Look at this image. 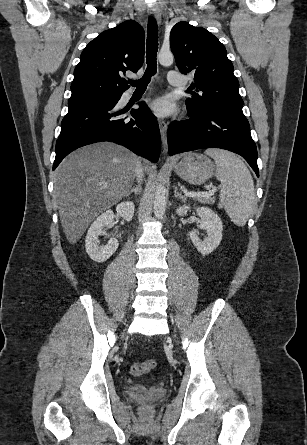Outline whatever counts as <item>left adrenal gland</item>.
Returning a JSON list of instances; mask_svg holds the SVG:
<instances>
[{"mask_svg":"<svg viewBox=\"0 0 307 445\" xmlns=\"http://www.w3.org/2000/svg\"><path fill=\"white\" fill-rule=\"evenodd\" d=\"M174 188V196H177V198H181L183 202H186L187 196H185V194H182V192H178V186H174Z\"/></svg>","mask_w":307,"mask_h":445,"instance_id":"a2214340","label":"left adrenal gland"}]
</instances>
